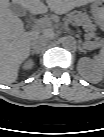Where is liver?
Instances as JSON below:
<instances>
[{"mask_svg":"<svg viewBox=\"0 0 104 137\" xmlns=\"http://www.w3.org/2000/svg\"><path fill=\"white\" fill-rule=\"evenodd\" d=\"M96 0H12L29 10L31 14H43L50 8L56 14H65ZM39 36L35 32H25L23 22L12 13L8 0H1L0 6V81L14 83L21 63L29 56L32 40Z\"/></svg>","mask_w":104,"mask_h":137,"instance_id":"liver-1","label":"liver"}]
</instances>
